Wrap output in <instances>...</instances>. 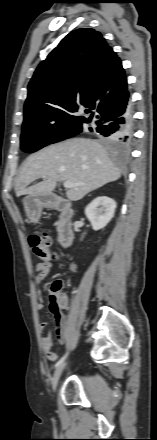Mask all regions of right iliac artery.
<instances>
[{"label":"right iliac artery","mask_w":157,"mask_h":440,"mask_svg":"<svg viewBox=\"0 0 157 440\" xmlns=\"http://www.w3.org/2000/svg\"><path fill=\"white\" fill-rule=\"evenodd\" d=\"M67 355H68V353L64 354L63 357H61V358L56 362V364L54 365V368H57L58 366H60V365L65 361Z\"/></svg>","instance_id":"82829eb1"}]
</instances>
